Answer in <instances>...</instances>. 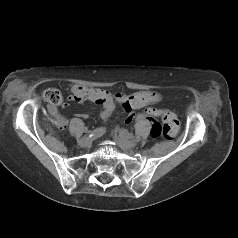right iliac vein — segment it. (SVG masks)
<instances>
[{
  "label": "right iliac vein",
  "instance_id": "63e3f726",
  "mask_svg": "<svg viewBox=\"0 0 238 238\" xmlns=\"http://www.w3.org/2000/svg\"><path fill=\"white\" fill-rule=\"evenodd\" d=\"M78 144L80 147H83V148L89 147L91 144V140L89 137H83L79 140Z\"/></svg>",
  "mask_w": 238,
  "mask_h": 238
}]
</instances>
